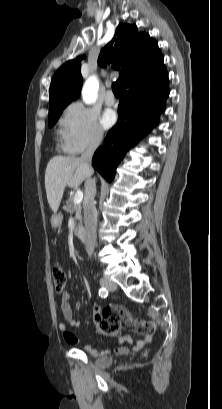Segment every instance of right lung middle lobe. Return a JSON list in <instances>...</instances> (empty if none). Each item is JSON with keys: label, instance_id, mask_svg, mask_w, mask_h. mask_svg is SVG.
<instances>
[{"label": "right lung middle lobe", "instance_id": "dd1d6c3e", "mask_svg": "<svg viewBox=\"0 0 222 409\" xmlns=\"http://www.w3.org/2000/svg\"><path fill=\"white\" fill-rule=\"evenodd\" d=\"M64 108L65 107L54 109L49 112V126L50 127H52L57 122Z\"/></svg>", "mask_w": 222, "mask_h": 409}]
</instances>
